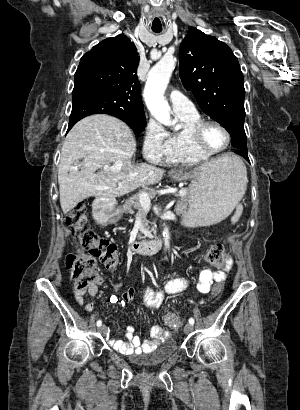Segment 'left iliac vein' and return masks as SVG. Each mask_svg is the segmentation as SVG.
I'll list each match as a JSON object with an SVG mask.
<instances>
[{
  "mask_svg": "<svg viewBox=\"0 0 300 410\" xmlns=\"http://www.w3.org/2000/svg\"><path fill=\"white\" fill-rule=\"evenodd\" d=\"M192 330H193V325H192V324L187 323V324L184 326V332H185V333H190Z\"/></svg>",
  "mask_w": 300,
  "mask_h": 410,
  "instance_id": "left-iliac-vein-1",
  "label": "left iliac vein"
}]
</instances>
